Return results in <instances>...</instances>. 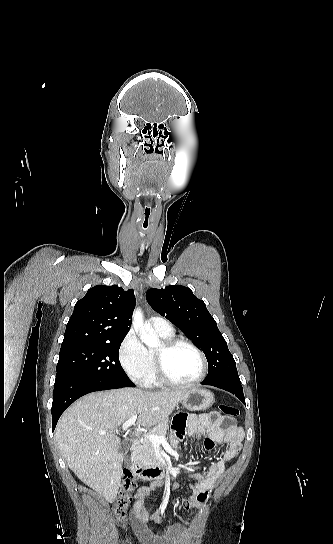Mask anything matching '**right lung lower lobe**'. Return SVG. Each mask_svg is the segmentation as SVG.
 <instances>
[{
  "instance_id": "1",
  "label": "right lung lower lobe",
  "mask_w": 333,
  "mask_h": 544,
  "mask_svg": "<svg viewBox=\"0 0 333 544\" xmlns=\"http://www.w3.org/2000/svg\"><path fill=\"white\" fill-rule=\"evenodd\" d=\"M134 386L133 383L125 385L111 382L88 381L71 375L56 376L52 403V430L54 431L58 419L66 408L81 396L95 391Z\"/></svg>"
}]
</instances>
